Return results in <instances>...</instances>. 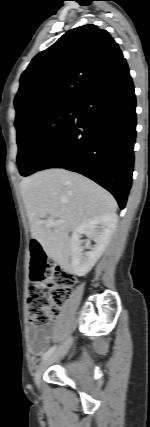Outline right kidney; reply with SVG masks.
<instances>
[{"mask_svg":"<svg viewBox=\"0 0 150 427\" xmlns=\"http://www.w3.org/2000/svg\"><path fill=\"white\" fill-rule=\"evenodd\" d=\"M118 216L115 213L89 219L81 223L70 239L71 270L77 276H85L104 253L116 228ZM86 235L95 242L91 251L83 252L80 238Z\"/></svg>","mask_w":150,"mask_h":427,"instance_id":"ca27d5eb","label":"right kidney"}]
</instances>
